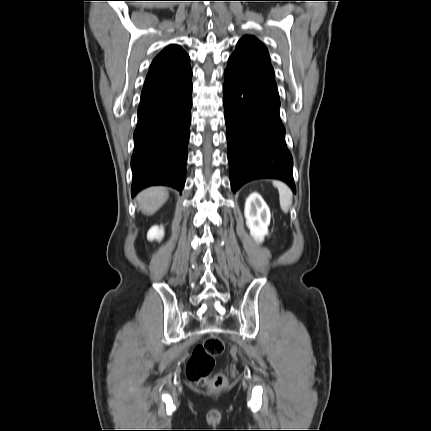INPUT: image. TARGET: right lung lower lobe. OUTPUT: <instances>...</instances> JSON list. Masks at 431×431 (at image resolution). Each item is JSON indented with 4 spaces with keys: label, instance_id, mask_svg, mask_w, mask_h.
<instances>
[{
    "label": "right lung lower lobe",
    "instance_id": "1",
    "mask_svg": "<svg viewBox=\"0 0 431 431\" xmlns=\"http://www.w3.org/2000/svg\"><path fill=\"white\" fill-rule=\"evenodd\" d=\"M192 75L170 91L140 102L131 158L132 196L151 185L179 191L186 180Z\"/></svg>",
    "mask_w": 431,
    "mask_h": 431
}]
</instances>
